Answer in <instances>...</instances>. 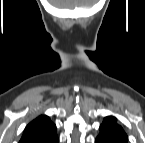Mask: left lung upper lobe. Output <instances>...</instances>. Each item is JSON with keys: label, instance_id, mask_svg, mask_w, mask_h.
I'll list each match as a JSON object with an SVG mask.
<instances>
[{"label": "left lung upper lobe", "instance_id": "1", "mask_svg": "<svg viewBox=\"0 0 145 143\" xmlns=\"http://www.w3.org/2000/svg\"><path fill=\"white\" fill-rule=\"evenodd\" d=\"M99 137L106 138L113 143H127L128 137L123 128L117 124V119L113 116H108L103 120L100 126Z\"/></svg>", "mask_w": 145, "mask_h": 143}]
</instances>
